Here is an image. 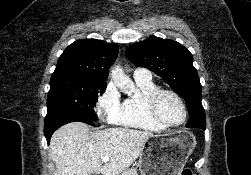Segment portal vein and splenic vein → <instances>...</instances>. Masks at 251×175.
<instances>
[{
    "instance_id": "18ae733b",
    "label": "portal vein and splenic vein",
    "mask_w": 251,
    "mask_h": 175,
    "mask_svg": "<svg viewBox=\"0 0 251 175\" xmlns=\"http://www.w3.org/2000/svg\"><path fill=\"white\" fill-rule=\"evenodd\" d=\"M110 157L108 155H105V157H102V161H109Z\"/></svg>"
}]
</instances>
